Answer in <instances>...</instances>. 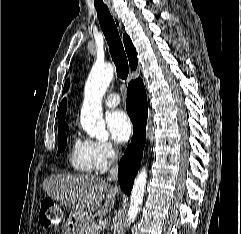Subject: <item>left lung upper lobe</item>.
I'll return each instance as SVG.
<instances>
[{
  "mask_svg": "<svg viewBox=\"0 0 241 234\" xmlns=\"http://www.w3.org/2000/svg\"><path fill=\"white\" fill-rule=\"evenodd\" d=\"M68 87H69V81H66L64 90H63V94L67 91Z\"/></svg>",
  "mask_w": 241,
  "mask_h": 234,
  "instance_id": "obj_1",
  "label": "left lung upper lobe"
}]
</instances>
